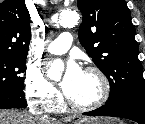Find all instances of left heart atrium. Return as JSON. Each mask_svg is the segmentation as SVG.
<instances>
[{
  "mask_svg": "<svg viewBox=\"0 0 145 124\" xmlns=\"http://www.w3.org/2000/svg\"><path fill=\"white\" fill-rule=\"evenodd\" d=\"M81 75L82 70L80 67L75 62L70 61L61 82V87L66 95H69L73 91V88Z\"/></svg>",
  "mask_w": 145,
  "mask_h": 124,
  "instance_id": "1",
  "label": "left heart atrium"
}]
</instances>
